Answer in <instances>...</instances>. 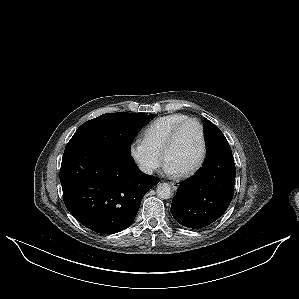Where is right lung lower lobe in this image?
Here are the masks:
<instances>
[{"label":"right lung lower lobe","instance_id":"98d812e1","mask_svg":"<svg viewBox=\"0 0 299 299\" xmlns=\"http://www.w3.org/2000/svg\"><path fill=\"white\" fill-rule=\"evenodd\" d=\"M63 200L85 227L114 234L129 227L145 193L160 180L142 174L130 155L91 145L66 146L60 169Z\"/></svg>","mask_w":299,"mask_h":299}]
</instances>
